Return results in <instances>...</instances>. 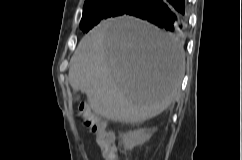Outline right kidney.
Wrapping results in <instances>:
<instances>
[{
    "label": "right kidney",
    "instance_id": "1",
    "mask_svg": "<svg viewBox=\"0 0 242 160\" xmlns=\"http://www.w3.org/2000/svg\"><path fill=\"white\" fill-rule=\"evenodd\" d=\"M149 138H150V135L146 133L143 129H140V130L130 131L127 134H124L122 136V141L124 146L127 149H132L137 145L144 144Z\"/></svg>",
    "mask_w": 242,
    "mask_h": 160
}]
</instances>
